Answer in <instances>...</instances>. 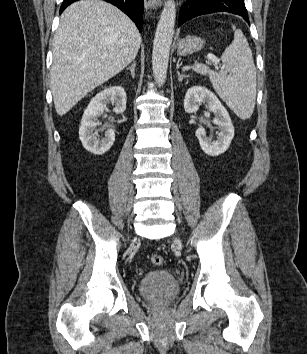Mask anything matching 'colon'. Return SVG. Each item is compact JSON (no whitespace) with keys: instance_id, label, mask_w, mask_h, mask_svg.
I'll use <instances>...</instances> for the list:
<instances>
[{"instance_id":"1","label":"colon","mask_w":307,"mask_h":354,"mask_svg":"<svg viewBox=\"0 0 307 354\" xmlns=\"http://www.w3.org/2000/svg\"><path fill=\"white\" fill-rule=\"evenodd\" d=\"M151 262L155 266H161L164 263V258L160 254H153L151 256Z\"/></svg>"}]
</instances>
